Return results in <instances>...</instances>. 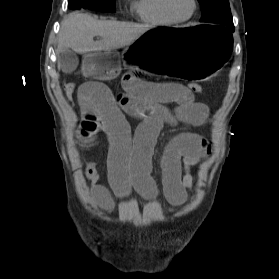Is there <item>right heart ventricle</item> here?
<instances>
[{
	"mask_svg": "<svg viewBox=\"0 0 279 279\" xmlns=\"http://www.w3.org/2000/svg\"><path fill=\"white\" fill-rule=\"evenodd\" d=\"M133 11L137 18L154 26H169L172 21L162 10L161 0H133Z\"/></svg>",
	"mask_w": 279,
	"mask_h": 279,
	"instance_id": "1",
	"label": "right heart ventricle"
}]
</instances>
